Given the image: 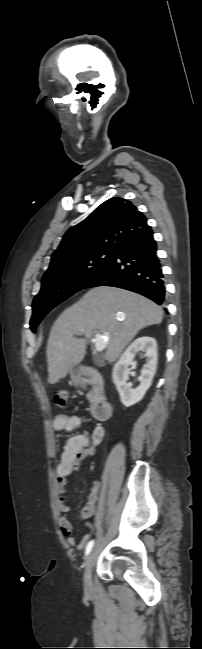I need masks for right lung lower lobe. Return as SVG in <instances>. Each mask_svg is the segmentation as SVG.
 <instances>
[{"instance_id": "1", "label": "right lung lower lobe", "mask_w": 202, "mask_h": 649, "mask_svg": "<svg viewBox=\"0 0 202 649\" xmlns=\"http://www.w3.org/2000/svg\"><path fill=\"white\" fill-rule=\"evenodd\" d=\"M151 229L123 243L83 287L114 286L148 297L159 305L165 301V282Z\"/></svg>"}]
</instances>
